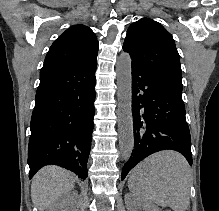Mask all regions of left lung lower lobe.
<instances>
[{
    "instance_id": "0a47b994",
    "label": "left lung lower lobe",
    "mask_w": 219,
    "mask_h": 211,
    "mask_svg": "<svg viewBox=\"0 0 219 211\" xmlns=\"http://www.w3.org/2000/svg\"><path fill=\"white\" fill-rule=\"evenodd\" d=\"M134 150L121 179L141 160L161 150H176L192 165L191 137L182 91L132 64Z\"/></svg>"
}]
</instances>
